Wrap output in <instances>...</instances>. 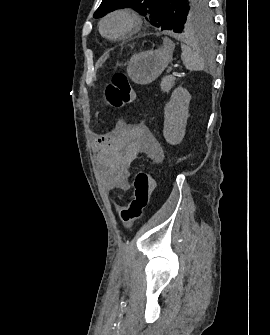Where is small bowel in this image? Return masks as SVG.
<instances>
[{
    "label": "small bowel",
    "mask_w": 270,
    "mask_h": 335,
    "mask_svg": "<svg viewBox=\"0 0 270 335\" xmlns=\"http://www.w3.org/2000/svg\"><path fill=\"white\" fill-rule=\"evenodd\" d=\"M93 146L98 153L102 182L120 190L129 189L130 167L139 154L144 153L156 163L164 159L162 147L141 123L120 121L112 132L96 135Z\"/></svg>",
    "instance_id": "c3829d8e"
}]
</instances>
